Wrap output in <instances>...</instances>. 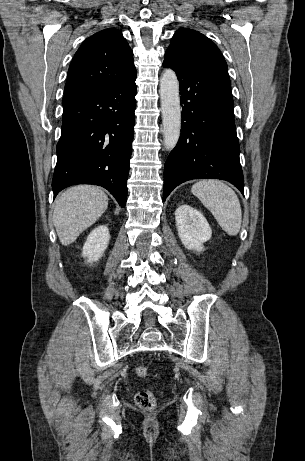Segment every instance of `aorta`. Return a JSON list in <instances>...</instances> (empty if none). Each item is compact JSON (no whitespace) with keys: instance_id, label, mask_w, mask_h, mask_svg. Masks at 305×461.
<instances>
[{"instance_id":"1","label":"aorta","mask_w":305,"mask_h":461,"mask_svg":"<svg viewBox=\"0 0 305 461\" xmlns=\"http://www.w3.org/2000/svg\"><path fill=\"white\" fill-rule=\"evenodd\" d=\"M160 97L162 107L164 145L172 150L179 139L181 129V107L179 82L171 69H166L160 80Z\"/></svg>"}]
</instances>
